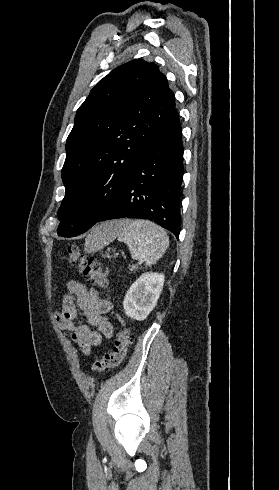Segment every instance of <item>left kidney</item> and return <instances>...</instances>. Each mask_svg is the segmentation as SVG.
<instances>
[{
    "mask_svg": "<svg viewBox=\"0 0 279 490\" xmlns=\"http://www.w3.org/2000/svg\"><path fill=\"white\" fill-rule=\"evenodd\" d=\"M164 274L147 272L130 286L123 302L124 314L132 320H146L163 290Z\"/></svg>",
    "mask_w": 279,
    "mask_h": 490,
    "instance_id": "1",
    "label": "left kidney"
}]
</instances>
